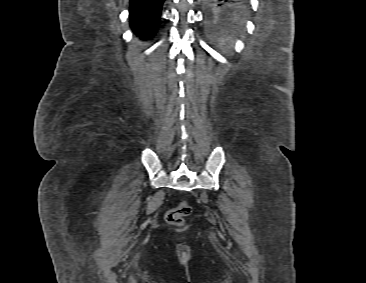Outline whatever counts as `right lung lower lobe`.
Wrapping results in <instances>:
<instances>
[{"label":"right lung lower lobe","mask_w":366,"mask_h":283,"mask_svg":"<svg viewBox=\"0 0 366 283\" xmlns=\"http://www.w3.org/2000/svg\"><path fill=\"white\" fill-rule=\"evenodd\" d=\"M164 0H130V25L143 40L154 35Z\"/></svg>","instance_id":"obj_1"}]
</instances>
